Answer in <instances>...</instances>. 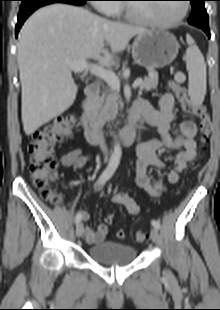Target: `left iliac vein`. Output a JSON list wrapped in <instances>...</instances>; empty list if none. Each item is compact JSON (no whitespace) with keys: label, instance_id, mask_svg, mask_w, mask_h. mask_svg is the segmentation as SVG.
Returning <instances> with one entry per match:
<instances>
[{"label":"left iliac vein","instance_id":"obj_1","mask_svg":"<svg viewBox=\"0 0 220 310\" xmlns=\"http://www.w3.org/2000/svg\"><path fill=\"white\" fill-rule=\"evenodd\" d=\"M150 238H151L152 242L155 244H157L159 241V233L155 227L151 229Z\"/></svg>","mask_w":220,"mask_h":310}]
</instances>
